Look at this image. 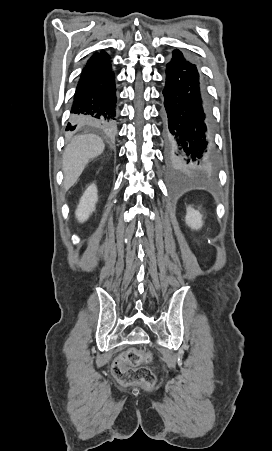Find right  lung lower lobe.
Segmentation results:
<instances>
[{
	"label": "right lung lower lobe",
	"instance_id": "obj_1",
	"mask_svg": "<svg viewBox=\"0 0 272 451\" xmlns=\"http://www.w3.org/2000/svg\"><path fill=\"white\" fill-rule=\"evenodd\" d=\"M66 130L76 127L113 132L118 121L115 76L110 56L95 53L86 63L77 84Z\"/></svg>",
	"mask_w": 272,
	"mask_h": 451
}]
</instances>
